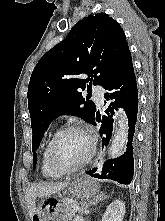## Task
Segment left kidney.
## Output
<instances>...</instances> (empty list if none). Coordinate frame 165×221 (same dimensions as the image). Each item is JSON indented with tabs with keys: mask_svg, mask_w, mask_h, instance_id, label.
Returning <instances> with one entry per match:
<instances>
[{
	"mask_svg": "<svg viewBox=\"0 0 165 221\" xmlns=\"http://www.w3.org/2000/svg\"><path fill=\"white\" fill-rule=\"evenodd\" d=\"M124 214L125 204L121 200H116L108 206L102 221H123Z\"/></svg>",
	"mask_w": 165,
	"mask_h": 221,
	"instance_id": "1",
	"label": "left kidney"
}]
</instances>
